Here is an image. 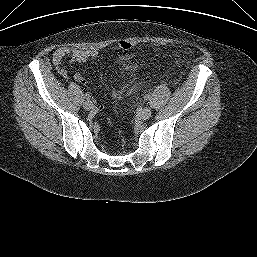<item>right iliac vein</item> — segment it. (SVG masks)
<instances>
[{
  "label": "right iliac vein",
  "mask_w": 257,
  "mask_h": 257,
  "mask_svg": "<svg viewBox=\"0 0 257 257\" xmlns=\"http://www.w3.org/2000/svg\"><path fill=\"white\" fill-rule=\"evenodd\" d=\"M83 106L88 111L94 109L93 103L91 101H89V100L85 101Z\"/></svg>",
  "instance_id": "1"
}]
</instances>
